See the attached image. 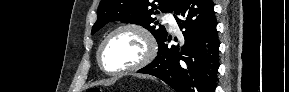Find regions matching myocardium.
Returning a JSON list of instances; mask_svg holds the SVG:
<instances>
[{"mask_svg": "<svg viewBox=\"0 0 289 92\" xmlns=\"http://www.w3.org/2000/svg\"><path fill=\"white\" fill-rule=\"evenodd\" d=\"M126 30L136 32L138 35H140V37L143 39L145 43V54L139 62H137L136 64L130 67H127L121 70L110 71L105 68L103 61H102V53H103L104 47L115 34L121 31H126ZM156 54H157V42H156L155 37L151 33V31L141 24L125 23V24L117 26L104 37V39L100 43L98 50H97V62L101 70L104 71L106 74L123 75V74L136 72L144 68L145 66H147L154 60V58L156 57Z\"/></svg>", "mask_w": 289, "mask_h": 92, "instance_id": "1", "label": "myocardium"}]
</instances>
